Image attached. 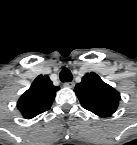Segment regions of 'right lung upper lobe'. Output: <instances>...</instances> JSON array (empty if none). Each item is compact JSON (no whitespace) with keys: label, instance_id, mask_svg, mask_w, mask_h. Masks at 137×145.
Segmentation results:
<instances>
[{"label":"right lung upper lobe","instance_id":"cb5924a9","mask_svg":"<svg viewBox=\"0 0 137 145\" xmlns=\"http://www.w3.org/2000/svg\"><path fill=\"white\" fill-rule=\"evenodd\" d=\"M59 89L47 75H39L19 98L17 107L26 119H31L50 109Z\"/></svg>","mask_w":137,"mask_h":145}]
</instances>
